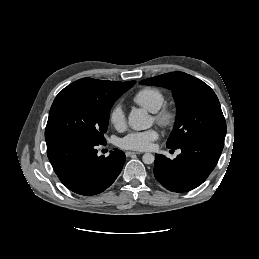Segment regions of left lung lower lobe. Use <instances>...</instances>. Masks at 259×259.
<instances>
[{
  "instance_id": "obj_1",
  "label": "left lung lower lobe",
  "mask_w": 259,
  "mask_h": 259,
  "mask_svg": "<svg viewBox=\"0 0 259 259\" xmlns=\"http://www.w3.org/2000/svg\"><path fill=\"white\" fill-rule=\"evenodd\" d=\"M224 147V139L199 137L184 143L174 160L156 154L154 175L173 192L190 191L201 185L215 168Z\"/></svg>"
}]
</instances>
